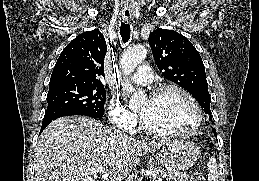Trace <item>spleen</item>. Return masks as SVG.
Segmentation results:
<instances>
[{
    "label": "spleen",
    "mask_w": 259,
    "mask_h": 181,
    "mask_svg": "<svg viewBox=\"0 0 259 181\" xmlns=\"http://www.w3.org/2000/svg\"><path fill=\"white\" fill-rule=\"evenodd\" d=\"M208 181H219V168L215 157H211L207 164Z\"/></svg>",
    "instance_id": "obj_1"
}]
</instances>
